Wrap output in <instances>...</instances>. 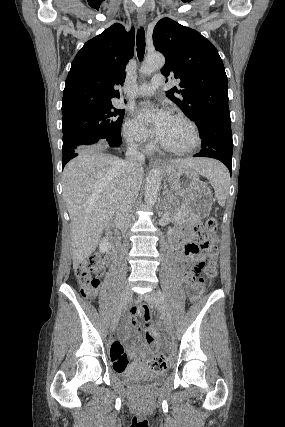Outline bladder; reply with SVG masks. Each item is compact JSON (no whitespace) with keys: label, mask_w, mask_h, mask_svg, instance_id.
I'll list each match as a JSON object with an SVG mask.
<instances>
[{"label":"bladder","mask_w":285,"mask_h":427,"mask_svg":"<svg viewBox=\"0 0 285 427\" xmlns=\"http://www.w3.org/2000/svg\"><path fill=\"white\" fill-rule=\"evenodd\" d=\"M115 374L127 383L135 386L148 382H162L167 377V373L165 371H151L147 367L138 363H131L125 366L122 370L116 371Z\"/></svg>","instance_id":"bladder-1"}]
</instances>
